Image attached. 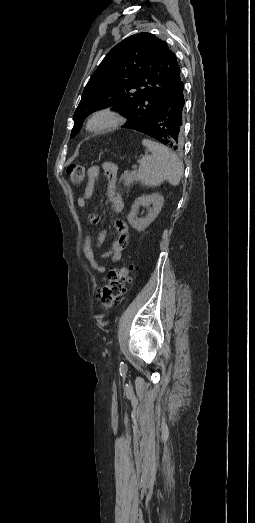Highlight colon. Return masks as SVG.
<instances>
[{
    "instance_id": "colon-1",
    "label": "colon",
    "mask_w": 255,
    "mask_h": 523,
    "mask_svg": "<svg viewBox=\"0 0 255 523\" xmlns=\"http://www.w3.org/2000/svg\"><path fill=\"white\" fill-rule=\"evenodd\" d=\"M67 174L74 184L79 185L85 178V168L79 164H71L67 168ZM133 269L134 264L129 263L126 266L108 272L99 295V300L104 309H110L123 297L126 284L131 282L130 273Z\"/></svg>"
}]
</instances>
